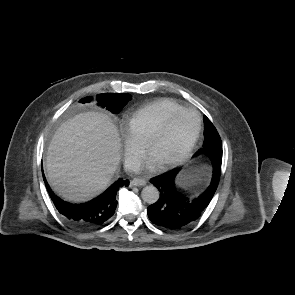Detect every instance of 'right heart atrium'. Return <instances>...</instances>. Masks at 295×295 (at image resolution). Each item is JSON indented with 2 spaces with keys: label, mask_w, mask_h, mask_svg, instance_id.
<instances>
[{
  "label": "right heart atrium",
  "mask_w": 295,
  "mask_h": 295,
  "mask_svg": "<svg viewBox=\"0 0 295 295\" xmlns=\"http://www.w3.org/2000/svg\"><path fill=\"white\" fill-rule=\"evenodd\" d=\"M125 164L128 169L136 170L141 163L145 147L129 131L123 133Z\"/></svg>",
  "instance_id": "obj_1"
}]
</instances>
